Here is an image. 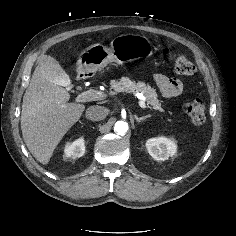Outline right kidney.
I'll return each instance as SVG.
<instances>
[{
  "label": "right kidney",
  "instance_id": "ca27d5eb",
  "mask_svg": "<svg viewBox=\"0 0 236 236\" xmlns=\"http://www.w3.org/2000/svg\"><path fill=\"white\" fill-rule=\"evenodd\" d=\"M85 153L84 139L81 137L74 142L67 143L64 147V157L79 158Z\"/></svg>",
  "mask_w": 236,
  "mask_h": 236
}]
</instances>
